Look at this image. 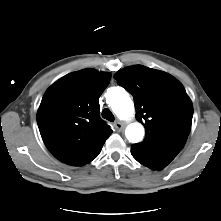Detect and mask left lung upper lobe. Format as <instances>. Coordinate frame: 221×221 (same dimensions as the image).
Masks as SVG:
<instances>
[{
  "instance_id": "1",
  "label": "left lung upper lobe",
  "mask_w": 221,
  "mask_h": 221,
  "mask_svg": "<svg viewBox=\"0 0 221 221\" xmlns=\"http://www.w3.org/2000/svg\"><path fill=\"white\" fill-rule=\"evenodd\" d=\"M114 78L134 97L136 118L145 127L138 143L156 156L172 161L189 135L193 105L183 85L168 73L142 65L118 71Z\"/></svg>"
}]
</instances>
